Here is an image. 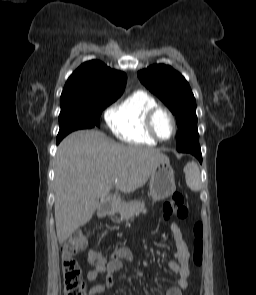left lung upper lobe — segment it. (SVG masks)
I'll return each mask as SVG.
<instances>
[{"label": "left lung upper lobe", "mask_w": 256, "mask_h": 295, "mask_svg": "<svg viewBox=\"0 0 256 295\" xmlns=\"http://www.w3.org/2000/svg\"><path fill=\"white\" fill-rule=\"evenodd\" d=\"M138 77L176 115L177 150L186 152L188 148L199 147L196 100L185 78L172 67L163 64L139 71Z\"/></svg>", "instance_id": "5c2ea615"}]
</instances>
